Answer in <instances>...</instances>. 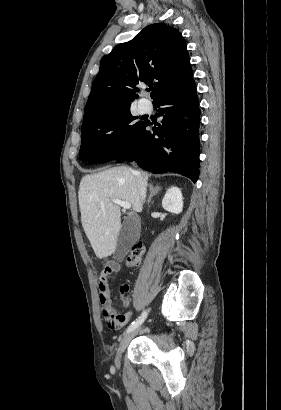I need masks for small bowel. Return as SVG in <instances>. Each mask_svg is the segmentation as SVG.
I'll return each instance as SVG.
<instances>
[{
  "label": "small bowel",
  "mask_w": 281,
  "mask_h": 410,
  "mask_svg": "<svg viewBox=\"0 0 281 410\" xmlns=\"http://www.w3.org/2000/svg\"><path fill=\"white\" fill-rule=\"evenodd\" d=\"M120 270V265L117 263H108L103 266L100 271L99 278H98V289H99V303L101 305L103 313L106 310H112L111 306V298H110V290L108 285L109 276L113 273H116ZM122 318V326L127 323L130 319L129 314L120 315Z\"/></svg>",
  "instance_id": "1"
}]
</instances>
